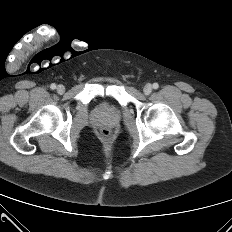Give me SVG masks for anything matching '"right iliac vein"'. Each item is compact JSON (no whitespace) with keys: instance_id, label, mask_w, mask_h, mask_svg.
Segmentation results:
<instances>
[{"instance_id":"right-iliac-vein-1","label":"right iliac vein","mask_w":232,"mask_h":232,"mask_svg":"<svg viewBox=\"0 0 232 232\" xmlns=\"http://www.w3.org/2000/svg\"><path fill=\"white\" fill-rule=\"evenodd\" d=\"M57 92L59 94H63L65 92V87L63 85H58L57 86Z\"/></svg>"}]
</instances>
